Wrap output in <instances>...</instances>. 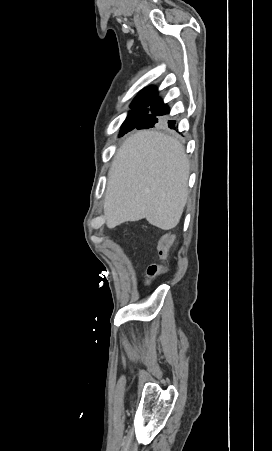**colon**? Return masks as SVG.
<instances>
[{"label": "colon", "mask_w": 272, "mask_h": 451, "mask_svg": "<svg viewBox=\"0 0 272 451\" xmlns=\"http://www.w3.org/2000/svg\"><path fill=\"white\" fill-rule=\"evenodd\" d=\"M174 242H175V238L168 234L167 237L165 238V240L162 242L161 251L163 252V249H165L168 245H170V244H172ZM159 271H160V266L159 265L151 264L146 269L147 277L151 278V279H154L153 277H155L159 273Z\"/></svg>", "instance_id": "colon-1"}]
</instances>
